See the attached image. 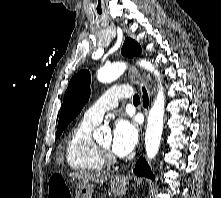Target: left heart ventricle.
<instances>
[{"instance_id":"left-heart-ventricle-1","label":"left heart ventricle","mask_w":221,"mask_h":198,"mask_svg":"<svg viewBox=\"0 0 221 198\" xmlns=\"http://www.w3.org/2000/svg\"><path fill=\"white\" fill-rule=\"evenodd\" d=\"M99 143L104 147L110 148V146H111V136L106 135Z\"/></svg>"}]
</instances>
